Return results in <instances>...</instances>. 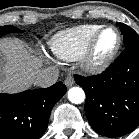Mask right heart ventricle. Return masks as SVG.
Instances as JSON below:
<instances>
[{"mask_svg": "<svg viewBox=\"0 0 139 139\" xmlns=\"http://www.w3.org/2000/svg\"><path fill=\"white\" fill-rule=\"evenodd\" d=\"M101 27L100 24H83L60 31L49 40V49L63 61L79 60L90 39Z\"/></svg>", "mask_w": 139, "mask_h": 139, "instance_id": "obj_1", "label": "right heart ventricle"}]
</instances>
